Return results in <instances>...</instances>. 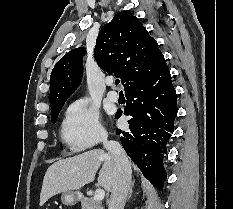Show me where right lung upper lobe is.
<instances>
[{"label":"right lung upper lobe","instance_id":"1","mask_svg":"<svg viewBox=\"0 0 233 209\" xmlns=\"http://www.w3.org/2000/svg\"><path fill=\"white\" fill-rule=\"evenodd\" d=\"M84 55V48L73 49L54 66L50 77L51 112L63 106L80 84ZM94 58L103 71L120 77L125 92L152 78L166 64L156 40L128 12H118L103 26Z\"/></svg>","mask_w":233,"mask_h":209}]
</instances>
